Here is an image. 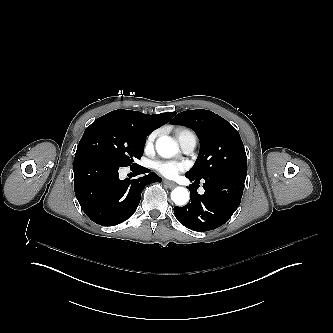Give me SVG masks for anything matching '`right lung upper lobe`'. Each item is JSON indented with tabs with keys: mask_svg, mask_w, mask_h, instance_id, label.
<instances>
[{
	"mask_svg": "<svg viewBox=\"0 0 333 333\" xmlns=\"http://www.w3.org/2000/svg\"><path fill=\"white\" fill-rule=\"evenodd\" d=\"M175 114L176 112H168L158 115H147L139 111L118 109L100 118L117 120L149 135L153 130L166 124Z\"/></svg>",
	"mask_w": 333,
	"mask_h": 333,
	"instance_id": "right-lung-upper-lobe-1",
	"label": "right lung upper lobe"
}]
</instances>
